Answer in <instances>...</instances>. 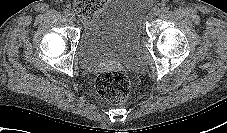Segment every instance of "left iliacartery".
<instances>
[{
    "mask_svg": "<svg viewBox=\"0 0 227 133\" xmlns=\"http://www.w3.org/2000/svg\"><path fill=\"white\" fill-rule=\"evenodd\" d=\"M161 11H162L163 13H167V12L169 11V7H167V6L162 7V8H161Z\"/></svg>",
    "mask_w": 227,
    "mask_h": 133,
    "instance_id": "left-iliac-artery-1",
    "label": "left iliac artery"
}]
</instances>
